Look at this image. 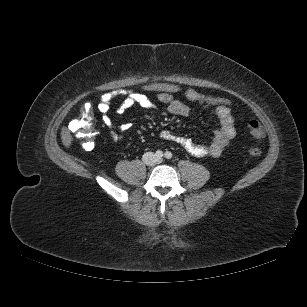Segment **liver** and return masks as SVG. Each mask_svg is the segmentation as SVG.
Returning <instances> with one entry per match:
<instances>
[{
  "instance_id": "1",
  "label": "liver",
  "mask_w": 307,
  "mask_h": 307,
  "mask_svg": "<svg viewBox=\"0 0 307 307\" xmlns=\"http://www.w3.org/2000/svg\"><path fill=\"white\" fill-rule=\"evenodd\" d=\"M143 89L147 93H154L156 91L160 93H181L184 91L185 86L181 82H160L158 84L154 82H147L144 84ZM61 139L64 146L69 147L72 142V137L69 130L66 127L62 128Z\"/></svg>"
}]
</instances>
